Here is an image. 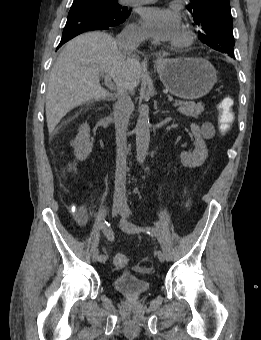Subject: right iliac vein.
Segmentation results:
<instances>
[{"mask_svg":"<svg viewBox=\"0 0 261 340\" xmlns=\"http://www.w3.org/2000/svg\"><path fill=\"white\" fill-rule=\"evenodd\" d=\"M123 209L122 203L120 201H114L112 205V215L117 216ZM99 249H94L91 253V261L93 263L98 261Z\"/></svg>","mask_w":261,"mask_h":340,"instance_id":"obj_1","label":"right iliac vein"}]
</instances>
